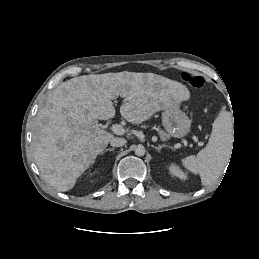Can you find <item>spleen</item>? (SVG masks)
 <instances>
[{"mask_svg":"<svg viewBox=\"0 0 259 259\" xmlns=\"http://www.w3.org/2000/svg\"><path fill=\"white\" fill-rule=\"evenodd\" d=\"M222 107L213 122L212 133L207 146L197 156H187L183 166L194 174H199L203 185L216 181L225 169L232 151V116Z\"/></svg>","mask_w":259,"mask_h":259,"instance_id":"3e777b00","label":"spleen"}]
</instances>
